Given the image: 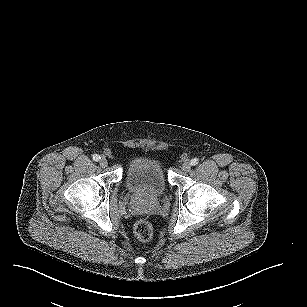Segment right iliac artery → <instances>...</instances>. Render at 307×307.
I'll use <instances>...</instances> for the list:
<instances>
[{
	"mask_svg": "<svg viewBox=\"0 0 307 307\" xmlns=\"http://www.w3.org/2000/svg\"><path fill=\"white\" fill-rule=\"evenodd\" d=\"M100 159H101V157L99 155H97V154L93 155V160L94 161H99Z\"/></svg>",
	"mask_w": 307,
	"mask_h": 307,
	"instance_id": "82829eb1",
	"label": "right iliac artery"
}]
</instances>
